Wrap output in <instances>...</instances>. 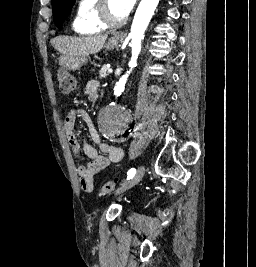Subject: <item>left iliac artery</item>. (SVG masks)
<instances>
[{
  "instance_id": "obj_1",
  "label": "left iliac artery",
  "mask_w": 256,
  "mask_h": 267,
  "mask_svg": "<svg viewBox=\"0 0 256 267\" xmlns=\"http://www.w3.org/2000/svg\"><path fill=\"white\" fill-rule=\"evenodd\" d=\"M135 173H136V169L131 168L127 173V175H128L127 179H131L135 175Z\"/></svg>"
}]
</instances>
